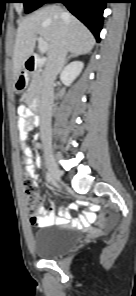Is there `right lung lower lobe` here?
I'll return each instance as SVG.
<instances>
[{
  "mask_svg": "<svg viewBox=\"0 0 136 296\" xmlns=\"http://www.w3.org/2000/svg\"><path fill=\"white\" fill-rule=\"evenodd\" d=\"M108 0H47L46 3H63L68 10L82 21L100 41L103 11Z\"/></svg>",
  "mask_w": 136,
  "mask_h": 296,
  "instance_id": "1",
  "label": "right lung lower lobe"
}]
</instances>
